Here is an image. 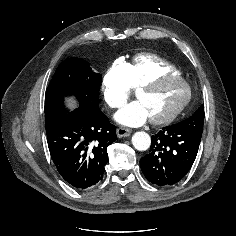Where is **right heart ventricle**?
<instances>
[{
  "mask_svg": "<svg viewBox=\"0 0 236 236\" xmlns=\"http://www.w3.org/2000/svg\"><path fill=\"white\" fill-rule=\"evenodd\" d=\"M128 84L137 88L148 80L162 74L180 75V71L169 61L153 54H140L128 64Z\"/></svg>",
  "mask_w": 236,
  "mask_h": 236,
  "instance_id": "1",
  "label": "right heart ventricle"
}]
</instances>
